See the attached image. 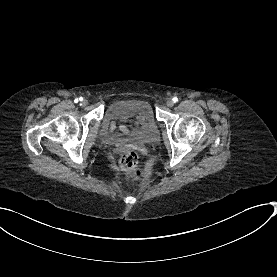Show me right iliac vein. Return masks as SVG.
<instances>
[{"label":"right iliac vein","mask_w":277,"mask_h":277,"mask_svg":"<svg viewBox=\"0 0 277 277\" xmlns=\"http://www.w3.org/2000/svg\"><path fill=\"white\" fill-rule=\"evenodd\" d=\"M81 103L83 106H86L88 104V101L86 99H84Z\"/></svg>","instance_id":"right-iliac-vein-1"}]
</instances>
